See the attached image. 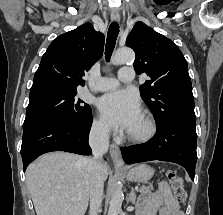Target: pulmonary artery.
<instances>
[{"label": "pulmonary artery", "mask_w": 223, "mask_h": 215, "mask_svg": "<svg viewBox=\"0 0 223 215\" xmlns=\"http://www.w3.org/2000/svg\"><path fill=\"white\" fill-rule=\"evenodd\" d=\"M132 66L126 65L125 69H119L117 77H101L95 81L94 90L106 91L117 88L121 82H131L134 79Z\"/></svg>", "instance_id": "obj_1"}]
</instances>
